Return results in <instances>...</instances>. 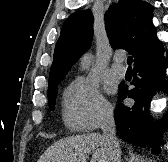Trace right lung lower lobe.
<instances>
[{
	"label": "right lung lower lobe",
	"mask_w": 168,
	"mask_h": 162,
	"mask_svg": "<svg viewBox=\"0 0 168 162\" xmlns=\"http://www.w3.org/2000/svg\"><path fill=\"white\" fill-rule=\"evenodd\" d=\"M163 52L164 50L161 48L148 58L134 64V78L131 84L135 87L127 91V86L120 84L119 101H122L127 95L134 99L135 103L133 106L119 103L115 109V122L120 138L141 147L150 142L155 153L160 150L159 135L167 122L162 120L160 124L155 123L150 118L148 108L156 88H160L164 84L163 73L167 66V60L164 58Z\"/></svg>",
	"instance_id": "98d812e1"
}]
</instances>
